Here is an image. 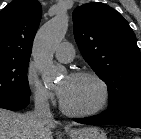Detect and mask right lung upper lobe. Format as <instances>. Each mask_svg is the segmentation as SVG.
I'll return each instance as SVG.
<instances>
[{
	"label": "right lung upper lobe",
	"mask_w": 141,
	"mask_h": 139,
	"mask_svg": "<svg viewBox=\"0 0 141 139\" xmlns=\"http://www.w3.org/2000/svg\"><path fill=\"white\" fill-rule=\"evenodd\" d=\"M41 16L37 0H15L0 11V59H30Z\"/></svg>",
	"instance_id": "1"
}]
</instances>
